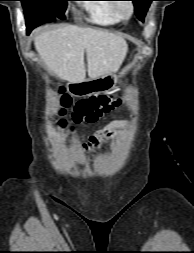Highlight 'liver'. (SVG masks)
<instances>
[{
  "instance_id": "obj_1",
  "label": "liver",
  "mask_w": 194,
  "mask_h": 253,
  "mask_svg": "<svg viewBox=\"0 0 194 253\" xmlns=\"http://www.w3.org/2000/svg\"><path fill=\"white\" fill-rule=\"evenodd\" d=\"M34 45L47 69L70 83L85 80V52L88 76L97 78L118 71L128 50L121 36L74 25L41 29Z\"/></svg>"
}]
</instances>
